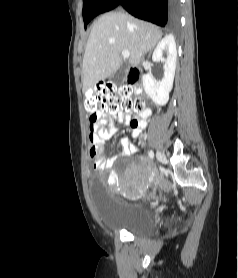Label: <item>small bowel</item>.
<instances>
[{
  "label": "small bowel",
  "instance_id": "obj_1",
  "mask_svg": "<svg viewBox=\"0 0 238 278\" xmlns=\"http://www.w3.org/2000/svg\"><path fill=\"white\" fill-rule=\"evenodd\" d=\"M150 112L145 110L139 114L124 112L119 110L115 113H101V119L91 126L90 129V158L93 161V166L98 171H105L113 167L116 160L121 156H130L137 152V147L128 137H123L120 140L122 152L119 155H114L110 158L105 157L103 145L105 141L111 138L112 133L105 126L109 120L116 124H126L131 129V137L136 139L140 137L142 132L147 128L148 117Z\"/></svg>",
  "mask_w": 238,
  "mask_h": 278
}]
</instances>
